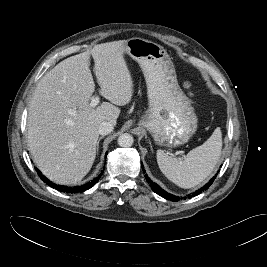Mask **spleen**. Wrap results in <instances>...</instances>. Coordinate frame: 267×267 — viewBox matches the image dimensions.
<instances>
[{
    "label": "spleen",
    "instance_id": "3e777b00",
    "mask_svg": "<svg viewBox=\"0 0 267 267\" xmlns=\"http://www.w3.org/2000/svg\"><path fill=\"white\" fill-rule=\"evenodd\" d=\"M222 149V133L216 128L202 145L192 149L184 158L157 150L156 158L161 172L181 188H192L203 182L219 162Z\"/></svg>",
    "mask_w": 267,
    "mask_h": 267
}]
</instances>
